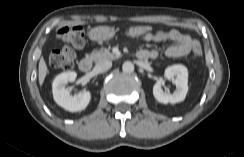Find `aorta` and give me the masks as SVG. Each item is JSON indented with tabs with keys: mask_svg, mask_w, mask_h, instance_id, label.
I'll use <instances>...</instances> for the list:
<instances>
[{
	"mask_svg": "<svg viewBox=\"0 0 244 157\" xmlns=\"http://www.w3.org/2000/svg\"><path fill=\"white\" fill-rule=\"evenodd\" d=\"M122 70L125 73H132L134 72V64L130 61H126L122 65Z\"/></svg>",
	"mask_w": 244,
	"mask_h": 157,
	"instance_id": "1",
	"label": "aorta"
}]
</instances>
